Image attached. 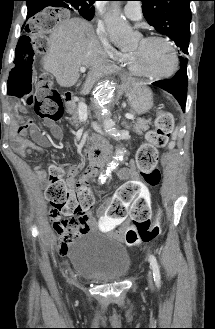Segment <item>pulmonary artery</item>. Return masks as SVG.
<instances>
[{"label": "pulmonary artery", "mask_w": 215, "mask_h": 329, "mask_svg": "<svg viewBox=\"0 0 215 329\" xmlns=\"http://www.w3.org/2000/svg\"><path fill=\"white\" fill-rule=\"evenodd\" d=\"M124 15L133 21L142 18V8L139 2H128L124 7Z\"/></svg>", "instance_id": "obj_1"}]
</instances>
